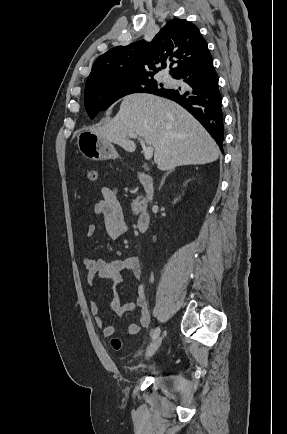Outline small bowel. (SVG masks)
Listing matches in <instances>:
<instances>
[{
  "label": "small bowel",
  "mask_w": 287,
  "mask_h": 434,
  "mask_svg": "<svg viewBox=\"0 0 287 434\" xmlns=\"http://www.w3.org/2000/svg\"><path fill=\"white\" fill-rule=\"evenodd\" d=\"M103 198L94 206V213L102 217L104 228L107 236L111 240H116L125 235L128 231L126 218L114 190L110 188L102 189ZM96 228L93 224L88 225L86 230L87 237L95 235ZM83 266L87 271V282L91 287L104 279H111L116 285L122 282V273L130 271L133 280L138 284L135 299L122 302L119 295H116L109 303L108 308L118 315L139 309V322L130 323L126 328L128 337L135 336L142 328H147L151 323V316L146 301V293L141 285L142 265L135 255H129L121 259L107 262L100 259L85 257L82 260ZM90 311L95 316L96 325L103 330L105 337H112L115 334V328L106 325L100 314V305L95 301L89 303Z\"/></svg>",
  "instance_id": "obj_1"
}]
</instances>
